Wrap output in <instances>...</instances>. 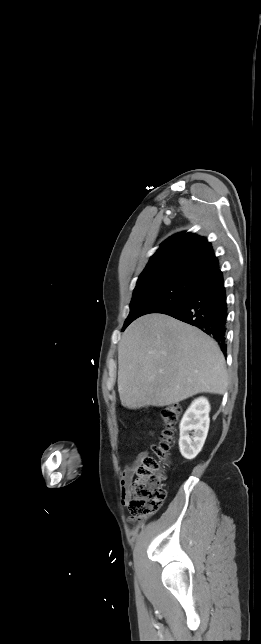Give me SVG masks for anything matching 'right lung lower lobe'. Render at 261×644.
<instances>
[{
    "label": "right lung lower lobe",
    "mask_w": 261,
    "mask_h": 644,
    "mask_svg": "<svg viewBox=\"0 0 261 644\" xmlns=\"http://www.w3.org/2000/svg\"><path fill=\"white\" fill-rule=\"evenodd\" d=\"M196 326L212 336L226 351L227 303L223 274L216 271L198 280L179 304L161 312Z\"/></svg>",
    "instance_id": "98d812e1"
}]
</instances>
